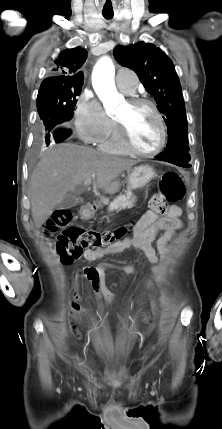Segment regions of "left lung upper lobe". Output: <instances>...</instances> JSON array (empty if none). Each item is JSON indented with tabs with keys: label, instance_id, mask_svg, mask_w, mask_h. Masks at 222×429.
<instances>
[{
	"label": "left lung upper lobe",
	"instance_id": "1",
	"mask_svg": "<svg viewBox=\"0 0 222 429\" xmlns=\"http://www.w3.org/2000/svg\"><path fill=\"white\" fill-rule=\"evenodd\" d=\"M114 55L121 65L136 72L146 91L155 97L168 128L167 150L189 151L185 104L172 61L161 49L144 42L117 46Z\"/></svg>",
	"mask_w": 222,
	"mask_h": 429
}]
</instances>
